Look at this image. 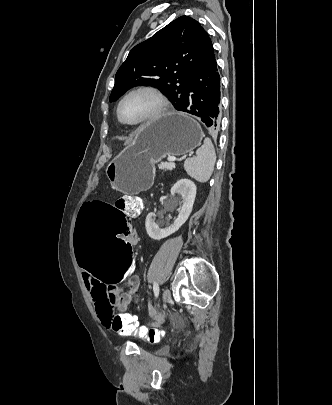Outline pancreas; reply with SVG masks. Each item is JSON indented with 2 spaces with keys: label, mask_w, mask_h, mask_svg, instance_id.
Segmentation results:
<instances>
[{
  "label": "pancreas",
  "mask_w": 332,
  "mask_h": 405,
  "mask_svg": "<svg viewBox=\"0 0 332 405\" xmlns=\"http://www.w3.org/2000/svg\"><path fill=\"white\" fill-rule=\"evenodd\" d=\"M159 168L161 170H172L173 169L172 167H170V163H168V162H161L159 164Z\"/></svg>",
  "instance_id": "cf45deb5"
}]
</instances>
